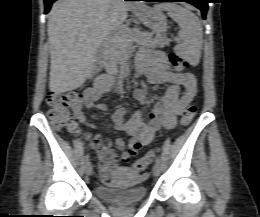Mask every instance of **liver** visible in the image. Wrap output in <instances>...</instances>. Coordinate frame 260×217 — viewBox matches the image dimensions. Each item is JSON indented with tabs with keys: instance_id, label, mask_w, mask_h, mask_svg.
Returning a JSON list of instances; mask_svg holds the SVG:
<instances>
[{
	"instance_id": "obj_1",
	"label": "liver",
	"mask_w": 260,
	"mask_h": 217,
	"mask_svg": "<svg viewBox=\"0 0 260 217\" xmlns=\"http://www.w3.org/2000/svg\"><path fill=\"white\" fill-rule=\"evenodd\" d=\"M129 7L121 1L114 8L110 0H58L52 5L47 25L51 92L59 94L83 85L99 46L122 26Z\"/></svg>"
}]
</instances>
